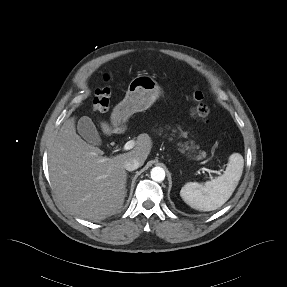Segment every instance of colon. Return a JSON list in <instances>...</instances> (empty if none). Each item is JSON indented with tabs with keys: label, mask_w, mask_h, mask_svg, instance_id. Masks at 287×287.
<instances>
[{
	"label": "colon",
	"mask_w": 287,
	"mask_h": 287,
	"mask_svg": "<svg viewBox=\"0 0 287 287\" xmlns=\"http://www.w3.org/2000/svg\"><path fill=\"white\" fill-rule=\"evenodd\" d=\"M111 99V91L108 88H99L96 91L93 107L95 112L104 113L108 110ZM190 99L192 101L191 114L199 121L207 122L209 117V108L203 101V94L199 90H193Z\"/></svg>",
	"instance_id": "colon-1"
}]
</instances>
